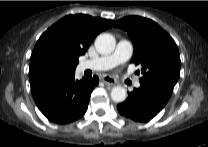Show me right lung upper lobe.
Instances as JSON below:
<instances>
[{"instance_id":"1","label":"right lung upper lobe","mask_w":208,"mask_h":147,"mask_svg":"<svg viewBox=\"0 0 208 147\" xmlns=\"http://www.w3.org/2000/svg\"><path fill=\"white\" fill-rule=\"evenodd\" d=\"M113 21L88 15H68L46 30L37 41L30 59L31 88L74 75L80 55Z\"/></svg>"}]
</instances>
